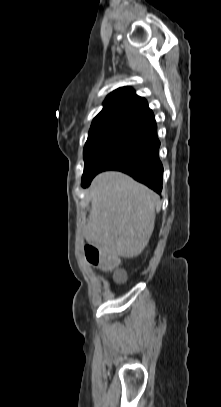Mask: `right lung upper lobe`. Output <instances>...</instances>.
Instances as JSON below:
<instances>
[{"label":"right lung upper lobe","instance_id":"cb5924a9","mask_svg":"<svg viewBox=\"0 0 221 407\" xmlns=\"http://www.w3.org/2000/svg\"><path fill=\"white\" fill-rule=\"evenodd\" d=\"M154 118L146 100L130 87L119 88L104 101L101 112L93 119L89 133L118 126L141 127Z\"/></svg>","mask_w":221,"mask_h":407}]
</instances>
